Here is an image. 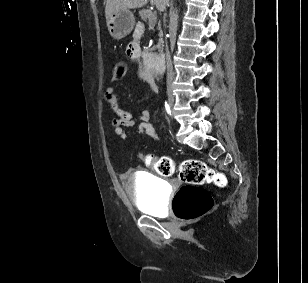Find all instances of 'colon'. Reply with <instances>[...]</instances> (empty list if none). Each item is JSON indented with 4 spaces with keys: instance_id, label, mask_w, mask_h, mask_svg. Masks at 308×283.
<instances>
[{
    "instance_id": "colon-1",
    "label": "colon",
    "mask_w": 308,
    "mask_h": 283,
    "mask_svg": "<svg viewBox=\"0 0 308 283\" xmlns=\"http://www.w3.org/2000/svg\"><path fill=\"white\" fill-rule=\"evenodd\" d=\"M126 63L119 61L113 68V77L116 79L125 76ZM145 165L162 176H172L175 173L183 182L173 199V211L182 220H195L206 214L213 207L210 193L202 186L214 184L219 187L226 185L225 176L209 167L206 163L187 159L179 164L168 156H141Z\"/></svg>"
}]
</instances>
